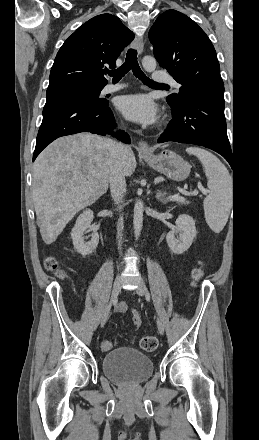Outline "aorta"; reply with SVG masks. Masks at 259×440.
Here are the masks:
<instances>
[{
	"mask_svg": "<svg viewBox=\"0 0 259 440\" xmlns=\"http://www.w3.org/2000/svg\"><path fill=\"white\" fill-rule=\"evenodd\" d=\"M142 66L147 72H153L156 69V60L153 57L145 56L142 59ZM143 224V202L137 200L134 206L133 226L136 239L140 236Z\"/></svg>",
	"mask_w": 259,
	"mask_h": 440,
	"instance_id": "obj_1",
	"label": "aorta"
}]
</instances>
